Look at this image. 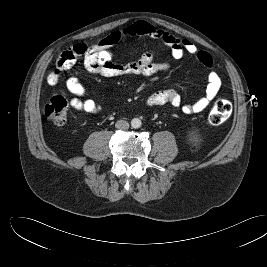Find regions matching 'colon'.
I'll return each instance as SVG.
<instances>
[{"instance_id": "obj_1", "label": "colon", "mask_w": 267, "mask_h": 267, "mask_svg": "<svg viewBox=\"0 0 267 267\" xmlns=\"http://www.w3.org/2000/svg\"><path fill=\"white\" fill-rule=\"evenodd\" d=\"M67 100L60 96H53L49 103L45 106L44 113L46 118L57 126H62L68 118ZM232 113V105L226 99L217 100L208 116V122L211 125H220L230 117Z\"/></svg>"}]
</instances>
